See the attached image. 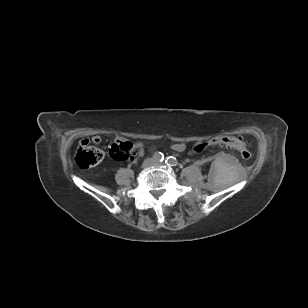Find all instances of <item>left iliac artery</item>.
Returning <instances> with one entry per match:
<instances>
[{
    "mask_svg": "<svg viewBox=\"0 0 308 308\" xmlns=\"http://www.w3.org/2000/svg\"><path fill=\"white\" fill-rule=\"evenodd\" d=\"M165 163L169 166H177L178 161L175 157L169 156V157L166 158Z\"/></svg>",
    "mask_w": 308,
    "mask_h": 308,
    "instance_id": "obj_1",
    "label": "left iliac artery"
}]
</instances>
